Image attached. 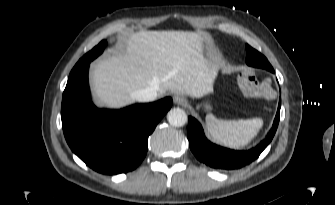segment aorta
<instances>
[{"label": "aorta", "instance_id": "762f6f07", "mask_svg": "<svg viewBox=\"0 0 335 205\" xmlns=\"http://www.w3.org/2000/svg\"><path fill=\"white\" fill-rule=\"evenodd\" d=\"M170 125L175 127L184 126L188 120L186 112L181 108H173L167 114Z\"/></svg>", "mask_w": 335, "mask_h": 205}]
</instances>
